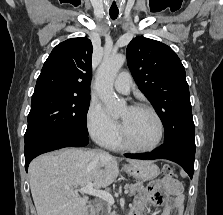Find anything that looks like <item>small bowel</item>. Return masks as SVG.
<instances>
[{
  "label": "small bowel",
  "instance_id": "1",
  "mask_svg": "<svg viewBox=\"0 0 223 215\" xmlns=\"http://www.w3.org/2000/svg\"><path fill=\"white\" fill-rule=\"evenodd\" d=\"M182 185L179 181L165 177L151 182L137 196L129 215H144L149 205H163L161 215H176L183 206Z\"/></svg>",
  "mask_w": 223,
  "mask_h": 215
}]
</instances>
